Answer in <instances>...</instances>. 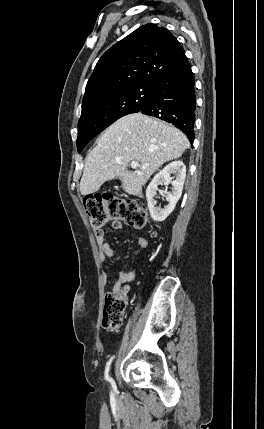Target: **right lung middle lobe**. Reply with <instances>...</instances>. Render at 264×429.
Segmentation results:
<instances>
[{"label": "right lung middle lobe", "mask_w": 264, "mask_h": 429, "mask_svg": "<svg viewBox=\"0 0 264 429\" xmlns=\"http://www.w3.org/2000/svg\"><path fill=\"white\" fill-rule=\"evenodd\" d=\"M154 88L155 84H136L82 104V114L78 122V152L80 153L92 138L117 119L139 112L152 95Z\"/></svg>", "instance_id": "1"}]
</instances>
